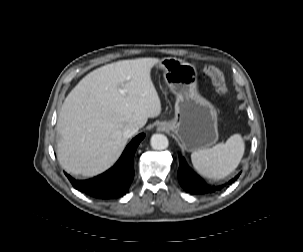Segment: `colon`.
Masks as SVG:
<instances>
[{
	"mask_svg": "<svg viewBox=\"0 0 303 252\" xmlns=\"http://www.w3.org/2000/svg\"><path fill=\"white\" fill-rule=\"evenodd\" d=\"M204 73L211 79L216 92L221 97H226L228 94V88L222 72L214 66L206 65L203 68Z\"/></svg>",
	"mask_w": 303,
	"mask_h": 252,
	"instance_id": "colon-1",
	"label": "colon"
}]
</instances>
